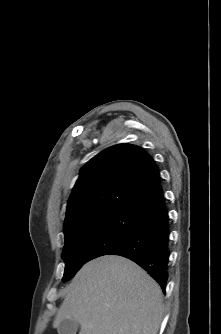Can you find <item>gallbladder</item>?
Wrapping results in <instances>:
<instances>
[{
  "instance_id": "gallbladder-1",
  "label": "gallbladder",
  "mask_w": 221,
  "mask_h": 334,
  "mask_svg": "<svg viewBox=\"0 0 221 334\" xmlns=\"http://www.w3.org/2000/svg\"><path fill=\"white\" fill-rule=\"evenodd\" d=\"M79 323L73 319H64L58 326V334H76Z\"/></svg>"
}]
</instances>
